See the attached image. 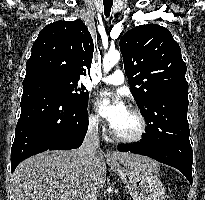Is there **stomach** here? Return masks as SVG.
<instances>
[{
  "instance_id": "0dacf381",
  "label": "stomach",
  "mask_w": 205,
  "mask_h": 200,
  "mask_svg": "<svg viewBox=\"0 0 205 200\" xmlns=\"http://www.w3.org/2000/svg\"><path fill=\"white\" fill-rule=\"evenodd\" d=\"M112 169L125 183L133 200H165V188L154 169L122 168L115 163Z\"/></svg>"
}]
</instances>
